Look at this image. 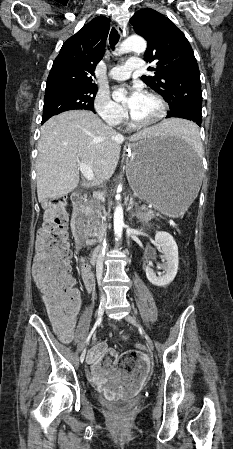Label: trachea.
I'll return each mask as SVG.
<instances>
[{
	"instance_id": "1",
	"label": "trachea",
	"mask_w": 233,
	"mask_h": 449,
	"mask_svg": "<svg viewBox=\"0 0 233 449\" xmlns=\"http://www.w3.org/2000/svg\"><path fill=\"white\" fill-rule=\"evenodd\" d=\"M119 40V34L117 30L113 27L111 29L110 35H109V43L112 49H114L115 45L118 43Z\"/></svg>"
}]
</instances>
